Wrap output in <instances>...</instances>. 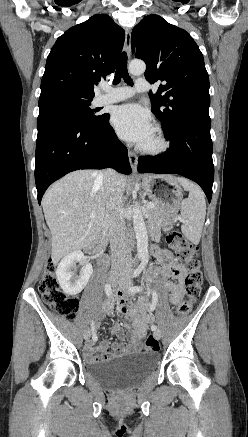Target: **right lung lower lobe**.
<instances>
[{
  "label": "right lung lower lobe",
  "mask_w": 248,
  "mask_h": 437,
  "mask_svg": "<svg viewBox=\"0 0 248 437\" xmlns=\"http://www.w3.org/2000/svg\"><path fill=\"white\" fill-rule=\"evenodd\" d=\"M109 117L87 124L58 111L39 113L35 154L39 204L46 189L69 172L107 167L132 172L127 149L117 139Z\"/></svg>",
  "instance_id": "98d812e1"
}]
</instances>
